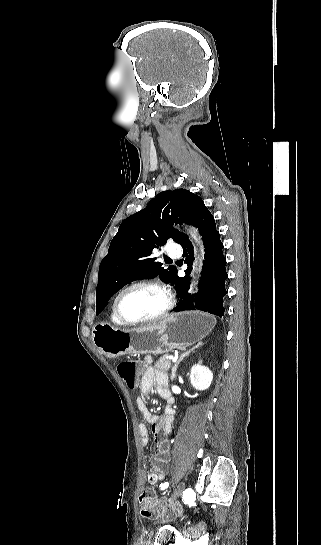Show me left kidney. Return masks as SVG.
Listing matches in <instances>:
<instances>
[{
  "label": "left kidney",
  "mask_w": 321,
  "mask_h": 545,
  "mask_svg": "<svg viewBox=\"0 0 321 545\" xmlns=\"http://www.w3.org/2000/svg\"><path fill=\"white\" fill-rule=\"evenodd\" d=\"M190 381L197 391H205L210 387L213 381V373L208 367L202 365H193L191 367Z\"/></svg>",
  "instance_id": "1"
}]
</instances>
